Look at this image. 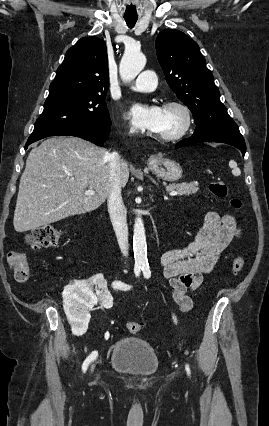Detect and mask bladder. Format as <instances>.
Instances as JSON below:
<instances>
[{
    "label": "bladder",
    "mask_w": 269,
    "mask_h": 426,
    "mask_svg": "<svg viewBox=\"0 0 269 426\" xmlns=\"http://www.w3.org/2000/svg\"><path fill=\"white\" fill-rule=\"evenodd\" d=\"M110 364L119 371L146 376L157 371L159 360L148 342L138 337H125L114 345Z\"/></svg>",
    "instance_id": "obj_1"
}]
</instances>
